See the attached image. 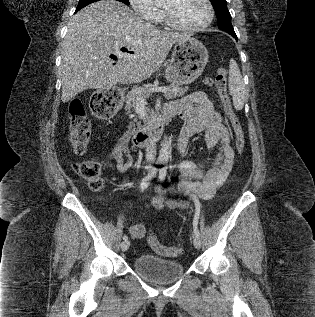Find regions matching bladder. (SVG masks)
Listing matches in <instances>:
<instances>
[{"instance_id":"obj_1","label":"bladder","mask_w":315,"mask_h":317,"mask_svg":"<svg viewBox=\"0 0 315 317\" xmlns=\"http://www.w3.org/2000/svg\"><path fill=\"white\" fill-rule=\"evenodd\" d=\"M135 272L154 283H168L180 278L183 265L176 260L163 259L151 254H140L132 263Z\"/></svg>"}]
</instances>
